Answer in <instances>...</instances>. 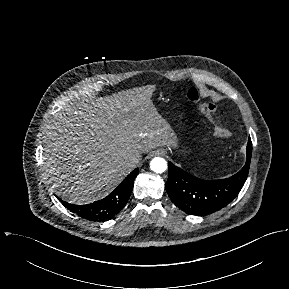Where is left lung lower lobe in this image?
<instances>
[{
  "label": "left lung lower lobe",
  "mask_w": 289,
  "mask_h": 289,
  "mask_svg": "<svg viewBox=\"0 0 289 289\" xmlns=\"http://www.w3.org/2000/svg\"><path fill=\"white\" fill-rule=\"evenodd\" d=\"M252 153L247 145L245 166L235 175L220 180H201L169 162L166 190L172 202L191 215H207L228 205L242 189L249 172Z\"/></svg>",
  "instance_id": "obj_1"
}]
</instances>
